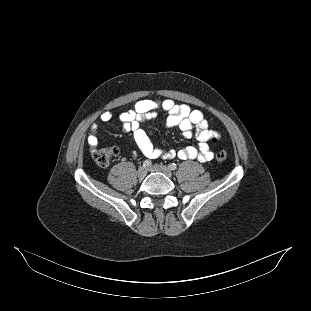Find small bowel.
<instances>
[{
	"mask_svg": "<svg viewBox=\"0 0 311 311\" xmlns=\"http://www.w3.org/2000/svg\"><path fill=\"white\" fill-rule=\"evenodd\" d=\"M168 113L166 125L170 128H178L186 138H191L195 130L198 147L189 146L179 150L166 149L156 145L151 136L141 128V124L157 117L158 111ZM113 119L111 112H104L99 120L109 122ZM122 130L130 132L134 141L143 155L149 159L163 158L171 159L178 157L182 160L196 159L206 162L213 159L208 141L212 137L220 138V134L210 129L209 122L200 110L191 109L186 104H177L171 99L138 101L134 108L118 115ZM87 143L91 150L98 145V122L95 121L90 127L87 135Z\"/></svg>",
	"mask_w": 311,
	"mask_h": 311,
	"instance_id": "small-bowel-1",
	"label": "small bowel"
}]
</instances>
